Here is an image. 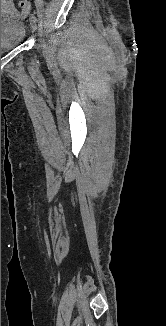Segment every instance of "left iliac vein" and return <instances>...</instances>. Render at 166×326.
I'll return each mask as SVG.
<instances>
[{
    "mask_svg": "<svg viewBox=\"0 0 166 326\" xmlns=\"http://www.w3.org/2000/svg\"><path fill=\"white\" fill-rule=\"evenodd\" d=\"M29 20H30V26H31L32 30H35L36 27H37V18H36V16L34 14H30Z\"/></svg>",
    "mask_w": 166,
    "mask_h": 326,
    "instance_id": "obj_1",
    "label": "left iliac vein"
}]
</instances>
